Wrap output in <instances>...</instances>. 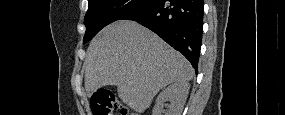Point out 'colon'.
<instances>
[{
	"label": "colon",
	"mask_w": 285,
	"mask_h": 115,
	"mask_svg": "<svg viewBox=\"0 0 285 115\" xmlns=\"http://www.w3.org/2000/svg\"><path fill=\"white\" fill-rule=\"evenodd\" d=\"M91 109L94 115H112L114 111H120L123 115L134 114L112 92L105 89L98 90L93 95Z\"/></svg>",
	"instance_id": "colon-1"
}]
</instances>
